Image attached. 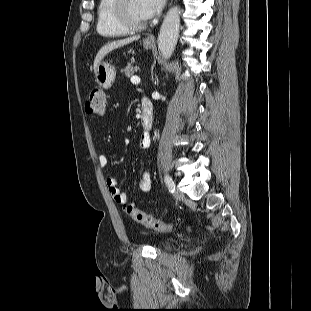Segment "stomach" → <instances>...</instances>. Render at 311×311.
Returning <instances> with one entry per match:
<instances>
[{
  "label": "stomach",
  "mask_w": 311,
  "mask_h": 311,
  "mask_svg": "<svg viewBox=\"0 0 311 311\" xmlns=\"http://www.w3.org/2000/svg\"><path fill=\"white\" fill-rule=\"evenodd\" d=\"M143 46L145 49H150L153 44L147 40H144ZM94 73L96 82L104 89L110 88L115 81V67L108 62H100Z\"/></svg>",
  "instance_id": "obj_1"
}]
</instances>
